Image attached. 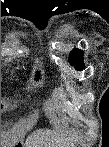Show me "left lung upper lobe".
I'll return each mask as SVG.
<instances>
[{"label": "left lung upper lobe", "instance_id": "1", "mask_svg": "<svg viewBox=\"0 0 109 147\" xmlns=\"http://www.w3.org/2000/svg\"><path fill=\"white\" fill-rule=\"evenodd\" d=\"M69 62L75 65L77 70L84 69L83 52L79 49H74L69 55Z\"/></svg>", "mask_w": 109, "mask_h": 147}]
</instances>
